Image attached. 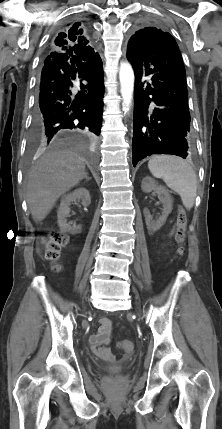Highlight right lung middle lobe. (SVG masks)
<instances>
[{
    "label": "right lung middle lobe",
    "mask_w": 222,
    "mask_h": 429,
    "mask_svg": "<svg viewBox=\"0 0 222 429\" xmlns=\"http://www.w3.org/2000/svg\"><path fill=\"white\" fill-rule=\"evenodd\" d=\"M31 139H32V140H36V139H34L32 136H31ZM36 141H38V142H39V143H41L42 145L44 144V143H43V141H42L41 139H40V140H36Z\"/></svg>",
    "instance_id": "right-lung-middle-lobe-1"
}]
</instances>
